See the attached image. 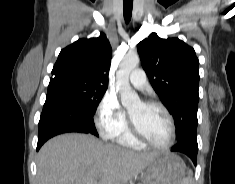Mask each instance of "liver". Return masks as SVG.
Here are the masks:
<instances>
[{"instance_id":"liver-1","label":"liver","mask_w":235,"mask_h":184,"mask_svg":"<svg viewBox=\"0 0 235 184\" xmlns=\"http://www.w3.org/2000/svg\"><path fill=\"white\" fill-rule=\"evenodd\" d=\"M161 154L104 144L91 134H62L48 140L37 156L39 184H127Z\"/></svg>"}]
</instances>
